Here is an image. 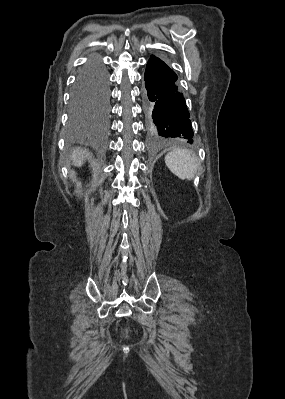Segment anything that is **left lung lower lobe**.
Returning a JSON list of instances; mask_svg holds the SVG:
<instances>
[{
  "label": "left lung lower lobe",
  "mask_w": 285,
  "mask_h": 399,
  "mask_svg": "<svg viewBox=\"0 0 285 399\" xmlns=\"http://www.w3.org/2000/svg\"><path fill=\"white\" fill-rule=\"evenodd\" d=\"M177 75L162 59L151 55L145 71L144 107L153 140H187L193 143L190 115Z\"/></svg>",
  "instance_id": "obj_1"
}]
</instances>
